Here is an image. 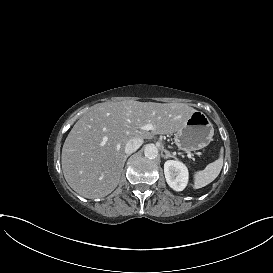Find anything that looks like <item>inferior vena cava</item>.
Here are the masks:
<instances>
[{
    "instance_id": "1",
    "label": "inferior vena cava",
    "mask_w": 273,
    "mask_h": 273,
    "mask_svg": "<svg viewBox=\"0 0 273 273\" xmlns=\"http://www.w3.org/2000/svg\"><path fill=\"white\" fill-rule=\"evenodd\" d=\"M142 142V138L132 137L125 145V153L131 154L135 152L141 146Z\"/></svg>"
}]
</instances>
